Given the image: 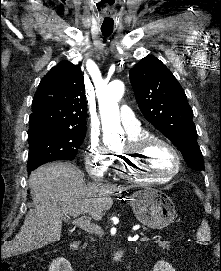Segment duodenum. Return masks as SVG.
Returning <instances> with one entry per match:
<instances>
[{
    "label": "duodenum",
    "mask_w": 221,
    "mask_h": 271,
    "mask_svg": "<svg viewBox=\"0 0 221 271\" xmlns=\"http://www.w3.org/2000/svg\"><path fill=\"white\" fill-rule=\"evenodd\" d=\"M78 247V242H71L70 243V250L73 251ZM124 256V252L122 250H119L115 253L114 257H113V264L117 265L121 262L122 258Z\"/></svg>",
    "instance_id": "duodenum-1"
}]
</instances>
